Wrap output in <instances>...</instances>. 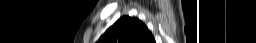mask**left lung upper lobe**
Masks as SVG:
<instances>
[{
    "label": "left lung upper lobe",
    "mask_w": 256,
    "mask_h": 43,
    "mask_svg": "<svg viewBox=\"0 0 256 43\" xmlns=\"http://www.w3.org/2000/svg\"><path fill=\"white\" fill-rule=\"evenodd\" d=\"M97 43H155V40L143 22L124 16L114 23Z\"/></svg>",
    "instance_id": "obj_1"
}]
</instances>
